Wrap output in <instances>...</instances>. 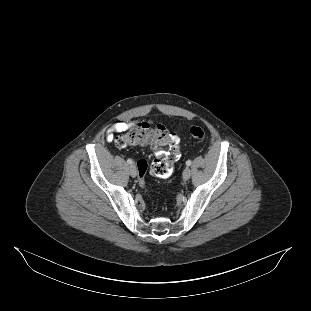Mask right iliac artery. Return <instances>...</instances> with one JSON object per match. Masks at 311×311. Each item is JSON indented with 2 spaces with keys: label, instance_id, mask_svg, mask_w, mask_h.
<instances>
[{
  "label": "right iliac artery",
  "instance_id": "82829eb1",
  "mask_svg": "<svg viewBox=\"0 0 311 311\" xmlns=\"http://www.w3.org/2000/svg\"><path fill=\"white\" fill-rule=\"evenodd\" d=\"M127 163H128V164H132L133 161H132L131 159H128V160H127Z\"/></svg>",
  "mask_w": 311,
  "mask_h": 311
}]
</instances>
